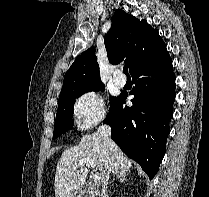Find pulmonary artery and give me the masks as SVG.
I'll return each instance as SVG.
<instances>
[{"mask_svg": "<svg viewBox=\"0 0 209 197\" xmlns=\"http://www.w3.org/2000/svg\"><path fill=\"white\" fill-rule=\"evenodd\" d=\"M113 81L118 87H124V85L126 84V79L120 76H114Z\"/></svg>", "mask_w": 209, "mask_h": 197, "instance_id": "1", "label": "pulmonary artery"}]
</instances>
